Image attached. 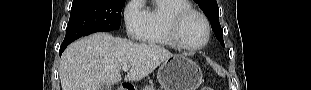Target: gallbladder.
<instances>
[{"label":"gallbladder","mask_w":311,"mask_h":90,"mask_svg":"<svg viewBox=\"0 0 311 90\" xmlns=\"http://www.w3.org/2000/svg\"><path fill=\"white\" fill-rule=\"evenodd\" d=\"M111 86L110 85H106V84H102L100 86V90H111Z\"/></svg>","instance_id":"obj_1"}]
</instances>
